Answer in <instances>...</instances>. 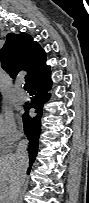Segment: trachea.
<instances>
[{
  "instance_id": "obj_1",
  "label": "trachea",
  "mask_w": 89,
  "mask_h": 203,
  "mask_svg": "<svg viewBox=\"0 0 89 203\" xmlns=\"http://www.w3.org/2000/svg\"><path fill=\"white\" fill-rule=\"evenodd\" d=\"M24 89L27 90V91H30L29 85L25 83L24 84Z\"/></svg>"
}]
</instances>
